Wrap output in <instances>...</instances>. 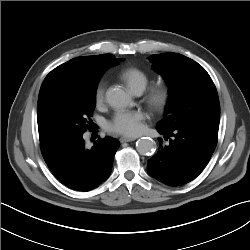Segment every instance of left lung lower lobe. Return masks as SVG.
<instances>
[{"instance_id":"1","label":"left lung lower lobe","mask_w":250,"mask_h":250,"mask_svg":"<svg viewBox=\"0 0 250 250\" xmlns=\"http://www.w3.org/2000/svg\"><path fill=\"white\" fill-rule=\"evenodd\" d=\"M218 129L219 119L186 124L173 131L157 127L169 143L159 139L158 152L148 160L149 174L170 186L190 182L209 162L217 145Z\"/></svg>"}]
</instances>
